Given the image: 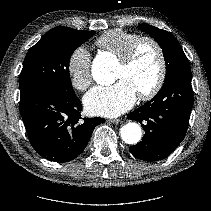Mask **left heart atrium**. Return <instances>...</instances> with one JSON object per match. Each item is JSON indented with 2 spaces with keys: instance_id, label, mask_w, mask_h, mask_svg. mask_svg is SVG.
I'll return each instance as SVG.
<instances>
[{
  "instance_id": "obj_1",
  "label": "left heart atrium",
  "mask_w": 211,
  "mask_h": 211,
  "mask_svg": "<svg viewBox=\"0 0 211 211\" xmlns=\"http://www.w3.org/2000/svg\"><path fill=\"white\" fill-rule=\"evenodd\" d=\"M137 100L135 88L121 79L109 86L92 88L83 99L86 111L91 115L118 116L130 109Z\"/></svg>"
}]
</instances>
